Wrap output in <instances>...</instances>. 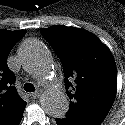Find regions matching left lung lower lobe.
Segmentation results:
<instances>
[{"label": "left lung lower lobe", "mask_w": 125, "mask_h": 125, "mask_svg": "<svg viewBox=\"0 0 125 125\" xmlns=\"http://www.w3.org/2000/svg\"><path fill=\"white\" fill-rule=\"evenodd\" d=\"M56 123L57 125H97L94 123L80 121V120L69 118V117L57 118Z\"/></svg>", "instance_id": "1"}]
</instances>
